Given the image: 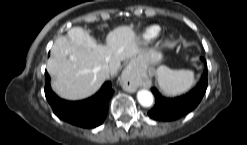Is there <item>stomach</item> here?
Masks as SVG:
<instances>
[{
  "instance_id": "1",
  "label": "stomach",
  "mask_w": 247,
  "mask_h": 145,
  "mask_svg": "<svg viewBox=\"0 0 247 145\" xmlns=\"http://www.w3.org/2000/svg\"><path fill=\"white\" fill-rule=\"evenodd\" d=\"M162 59L163 55L161 52L155 49H149L132 58L129 67L139 72H145L161 62Z\"/></svg>"
}]
</instances>
